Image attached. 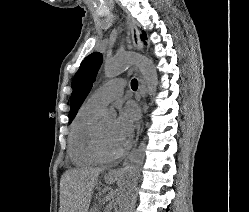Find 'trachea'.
Segmentation results:
<instances>
[{
    "label": "trachea",
    "mask_w": 249,
    "mask_h": 212,
    "mask_svg": "<svg viewBox=\"0 0 249 212\" xmlns=\"http://www.w3.org/2000/svg\"><path fill=\"white\" fill-rule=\"evenodd\" d=\"M131 88H132V90H137V88H138V81L136 79H133L131 81Z\"/></svg>",
    "instance_id": "trachea-1"
}]
</instances>
